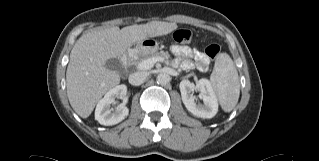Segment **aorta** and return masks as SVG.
Returning <instances> with one entry per match:
<instances>
[{
	"label": "aorta",
	"instance_id": "1",
	"mask_svg": "<svg viewBox=\"0 0 319 161\" xmlns=\"http://www.w3.org/2000/svg\"><path fill=\"white\" fill-rule=\"evenodd\" d=\"M170 81V76L166 73H160L157 76V83L160 85H166Z\"/></svg>",
	"mask_w": 319,
	"mask_h": 161
}]
</instances>
